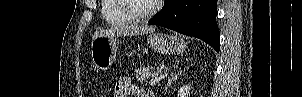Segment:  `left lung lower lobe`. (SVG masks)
<instances>
[{
  "instance_id": "obj_1",
  "label": "left lung lower lobe",
  "mask_w": 302,
  "mask_h": 97,
  "mask_svg": "<svg viewBox=\"0 0 302 97\" xmlns=\"http://www.w3.org/2000/svg\"><path fill=\"white\" fill-rule=\"evenodd\" d=\"M216 15L217 0H166L149 23L197 37L219 52Z\"/></svg>"
}]
</instances>
